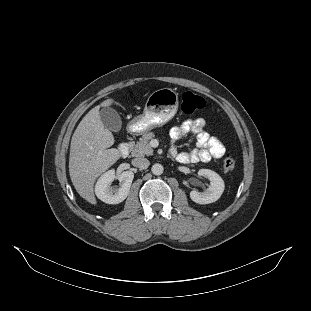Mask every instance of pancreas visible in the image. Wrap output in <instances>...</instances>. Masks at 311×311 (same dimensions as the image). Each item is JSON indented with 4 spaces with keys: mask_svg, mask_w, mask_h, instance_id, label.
Masks as SVG:
<instances>
[{
    "mask_svg": "<svg viewBox=\"0 0 311 311\" xmlns=\"http://www.w3.org/2000/svg\"><path fill=\"white\" fill-rule=\"evenodd\" d=\"M153 134H144L143 138L135 143V141H130L127 143L128 149L133 157H144L153 155V148L150 145V140Z\"/></svg>",
    "mask_w": 311,
    "mask_h": 311,
    "instance_id": "obj_1",
    "label": "pancreas"
}]
</instances>
